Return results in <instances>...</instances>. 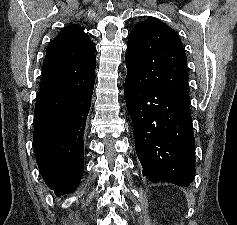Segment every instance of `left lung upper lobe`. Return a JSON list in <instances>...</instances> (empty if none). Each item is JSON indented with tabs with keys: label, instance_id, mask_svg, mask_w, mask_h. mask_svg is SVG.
<instances>
[{
	"label": "left lung upper lobe",
	"instance_id": "5c2ea615",
	"mask_svg": "<svg viewBox=\"0 0 237 225\" xmlns=\"http://www.w3.org/2000/svg\"><path fill=\"white\" fill-rule=\"evenodd\" d=\"M128 72L141 87L188 92L187 58L176 32L150 17L129 34L125 56Z\"/></svg>",
	"mask_w": 237,
	"mask_h": 225
}]
</instances>
